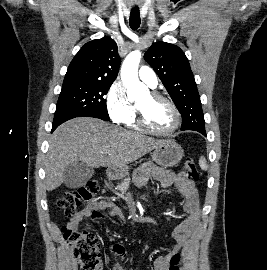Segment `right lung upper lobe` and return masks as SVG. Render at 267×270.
I'll return each mask as SVG.
<instances>
[{
  "label": "right lung upper lobe",
  "instance_id": "obj_1",
  "mask_svg": "<svg viewBox=\"0 0 267 270\" xmlns=\"http://www.w3.org/2000/svg\"><path fill=\"white\" fill-rule=\"evenodd\" d=\"M120 66L115 41L109 37L93 40L79 50L71 61L64 81L113 83Z\"/></svg>",
  "mask_w": 267,
  "mask_h": 270
}]
</instances>
